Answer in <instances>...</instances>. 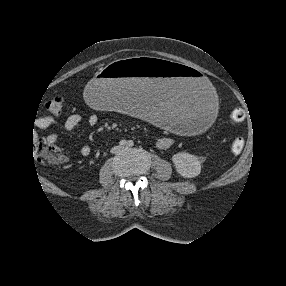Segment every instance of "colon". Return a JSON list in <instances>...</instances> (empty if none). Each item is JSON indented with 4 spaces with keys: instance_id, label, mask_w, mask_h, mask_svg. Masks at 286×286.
<instances>
[{
    "instance_id": "5ec220e1",
    "label": "colon",
    "mask_w": 286,
    "mask_h": 286,
    "mask_svg": "<svg viewBox=\"0 0 286 286\" xmlns=\"http://www.w3.org/2000/svg\"><path fill=\"white\" fill-rule=\"evenodd\" d=\"M65 105V99L61 95L54 96L46 103V109L54 114L59 115L63 112ZM246 113L241 108H235L232 110L230 119L233 124L240 123L244 121ZM244 147V140L242 138H236L231 144V151L234 154H239ZM36 156L40 161L48 163L60 162L63 155L60 149L54 144L53 140L50 138L38 139L35 143Z\"/></svg>"
}]
</instances>
